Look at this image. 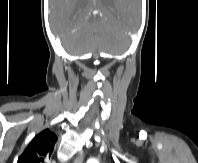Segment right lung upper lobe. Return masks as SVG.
<instances>
[{
	"label": "right lung upper lobe",
	"mask_w": 198,
	"mask_h": 163,
	"mask_svg": "<svg viewBox=\"0 0 198 163\" xmlns=\"http://www.w3.org/2000/svg\"><path fill=\"white\" fill-rule=\"evenodd\" d=\"M56 141L57 137L53 132L49 129L43 130L29 143L17 163H46L51 157Z\"/></svg>",
	"instance_id": "1"
}]
</instances>
